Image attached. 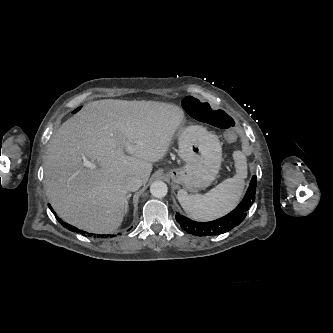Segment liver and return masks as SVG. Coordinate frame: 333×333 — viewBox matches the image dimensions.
I'll return each mask as SVG.
<instances>
[{
    "label": "liver",
    "instance_id": "1",
    "mask_svg": "<svg viewBox=\"0 0 333 333\" xmlns=\"http://www.w3.org/2000/svg\"><path fill=\"white\" fill-rule=\"evenodd\" d=\"M183 122V110L168 103L103 99L85 105L47 147L46 194L57 214L88 232H114L125 214L126 179L145 184ZM84 157L95 168L85 166Z\"/></svg>",
    "mask_w": 333,
    "mask_h": 333
}]
</instances>
